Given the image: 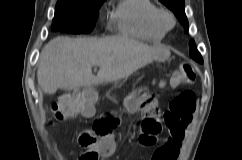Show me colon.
Here are the masks:
<instances>
[{
  "label": "colon",
  "mask_w": 242,
  "mask_h": 160,
  "mask_svg": "<svg viewBox=\"0 0 242 160\" xmlns=\"http://www.w3.org/2000/svg\"><path fill=\"white\" fill-rule=\"evenodd\" d=\"M196 79V71L192 64L183 63L175 71L171 85L176 87L182 84H192ZM131 103L139 104L144 115L141 129L140 141L144 144H153L155 135L161 130V123L158 119L159 109L153 96L139 88L130 96ZM95 95L91 92L75 93L63 95L52 106V122H62L70 120L89 112L94 108ZM195 108V94L191 90H186L176 96L170 104L169 110L165 113V122L168 128H179L186 126L191 119V114ZM119 119L117 115L110 113L98 118L92 129L85 130L81 136V142L85 146L94 144L98 137L112 131L117 126ZM179 136V132L174 133ZM84 160H98L96 152L92 151L84 156Z\"/></svg>",
  "instance_id": "1"
}]
</instances>
